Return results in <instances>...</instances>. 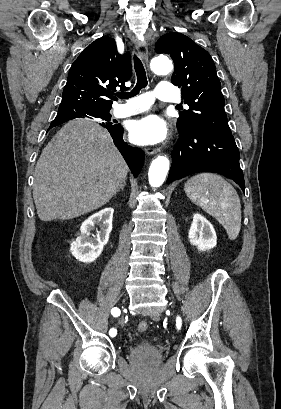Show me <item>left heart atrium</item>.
<instances>
[{"mask_svg": "<svg viewBox=\"0 0 281 409\" xmlns=\"http://www.w3.org/2000/svg\"><path fill=\"white\" fill-rule=\"evenodd\" d=\"M167 125L161 117L155 114H146L135 119L130 126V138L142 146L156 145L167 137Z\"/></svg>", "mask_w": 281, "mask_h": 409, "instance_id": "1", "label": "left heart atrium"}]
</instances>
